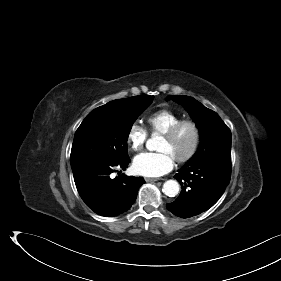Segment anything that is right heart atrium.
<instances>
[{
  "label": "right heart atrium",
  "mask_w": 281,
  "mask_h": 281,
  "mask_svg": "<svg viewBox=\"0 0 281 281\" xmlns=\"http://www.w3.org/2000/svg\"><path fill=\"white\" fill-rule=\"evenodd\" d=\"M148 137L147 130L138 122H134L128 129L126 142L130 150L140 151L143 149Z\"/></svg>",
  "instance_id": "d8ad5b80"
}]
</instances>
